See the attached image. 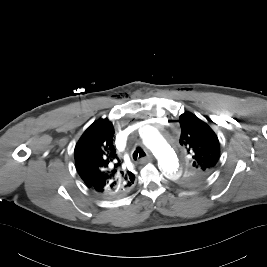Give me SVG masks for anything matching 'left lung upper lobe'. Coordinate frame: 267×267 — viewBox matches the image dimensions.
Instances as JSON below:
<instances>
[{
  "label": "left lung upper lobe",
  "instance_id": "obj_1",
  "mask_svg": "<svg viewBox=\"0 0 267 267\" xmlns=\"http://www.w3.org/2000/svg\"><path fill=\"white\" fill-rule=\"evenodd\" d=\"M179 122L182 128L179 142L190 158L181 182L196 185L215 171L220 156L219 141L214 131L190 112L183 113Z\"/></svg>",
  "mask_w": 267,
  "mask_h": 267
}]
</instances>
